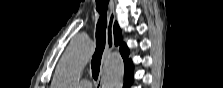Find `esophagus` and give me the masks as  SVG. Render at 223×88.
<instances>
[{
  "mask_svg": "<svg viewBox=\"0 0 223 88\" xmlns=\"http://www.w3.org/2000/svg\"><path fill=\"white\" fill-rule=\"evenodd\" d=\"M114 22H115L114 3L113 1H110V11L108 15V23H107V29H106V46H105V50L102 56L100 74L98 77L96 88L103 87V78H104V70H105L106 61L111 51L114 48Z\"/></svg>",
  "mask_w": 223,
  "mask_h": 88,
  "instance_id": "obj_1",
  "label": "esophagus"
}]
</instances>
